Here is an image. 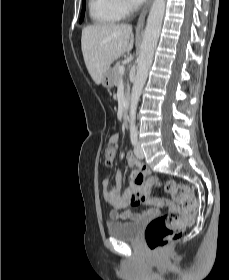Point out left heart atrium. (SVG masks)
Segmentation results:
<instances>
[{
  "label": "left heart atrium",
  "instance_id": "obj_1",
  "mask_svg": "<svg viewBox=\"0 0 229 280\" xmlns=\"http://www.w3.org/2000/svg\"><path fill=\"white\" fill-rule=\"evenodd\" d=\"M145 0H135L136 3H142L144 2Z\"/></svg>",
  "mask_w": 229,
  "mask_h": 280
}]
</instances>
